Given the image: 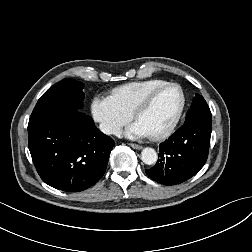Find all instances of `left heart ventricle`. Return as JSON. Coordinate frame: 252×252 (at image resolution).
Listing matches in <instances>:
<instances>
[{"label":"left heart ventricle","instance_id":"left-heart-ventricle-1","mask_svg":"<svg viewBox=\"0 0 252 252\" xmlns=\"http://www.w3.org/2000/svg\"><path fill=\"white\" fill-rule=\"evenodd\" d=\"M181 104L178 88L168 87L157 94L152 104L137 118L152 135L167 129L174 120Z\"/></svg>","mask_w":252,"mask_h":252}]
</instances>
